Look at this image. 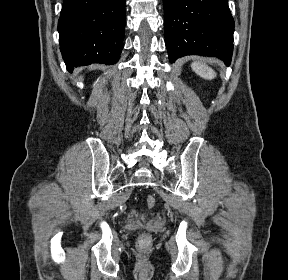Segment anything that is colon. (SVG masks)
I'll return each instance as SVG.
<instances>
[{"instance_id":"colon-1","label":"colon","mask_w":288,"mask_h":280,"mask_svg":"<svg viewBox=\"0 0 288 280\" xmlns=\"http://www.w3.org/2000/svg\"><path fill=\"white\" fill-rule=\"evenodd\" d=\"M156 204V199L153 195H148L146 197V205L148 208H153ZM150 244V237L147 234H142L139 239L140 248L144 249Z\"/></svg>"}]
</instances>
